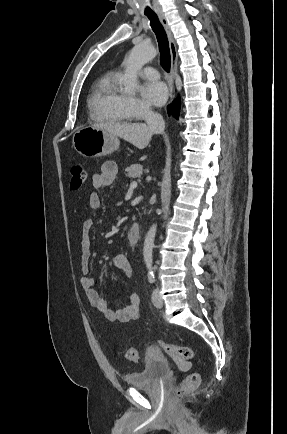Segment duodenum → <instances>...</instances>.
<instances>
[{"mask_svg": "<svg viewBox=\"0 0 287 434\" xmlns=\"http://www.w3.org/2000/svg\"><path fill=\"white\" fill-rule=\"evenodd\" d=\"M127 238L128 241L130 242V244L135 245L138 243L139 238H140V228L139 226L134 223L132 224L127 232Z\"/></svg>", "mask_w": 287, "mask_h": 434, "instance_id": "1", "label": "duodenum"}]
</instances>
